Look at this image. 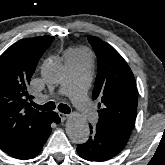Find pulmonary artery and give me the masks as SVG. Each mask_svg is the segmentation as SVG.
I'll use <instances>...</instances> for the list:
<instances>
[{"mask_svg": "<svg viewBox=\"0 0 165 165\" xmlns=\"http://www.w3.org/2000/svg\"><path fill=\"white\" fill-rule=\"evenodd\" d=\"M65 65L68 75L63 86L59 89V94L69 96L84 119L94 122L96 115L86 96L90 77L89 57L85 54L70 53L65 57Z\"/></svg>", "mask_w": 165, "mask_h": 165, "instance_id": "1", "label": "pulmonary artery"}]
</instances>
